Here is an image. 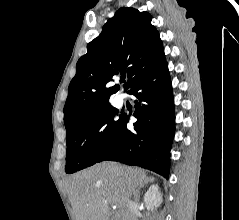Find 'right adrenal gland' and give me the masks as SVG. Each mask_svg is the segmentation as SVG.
I'll return each mask as SVG.
<instances>
[{"mask_svg": "<svg viewBox=\"0 0 239 220\" xmlns=\"http://www.w3.org/2000/svg\"><path fill=\"white\" fill-rule=\"evenodd\" d=\"M154 180L152 178H146L143 183H141L138 190L134 193L135 199L138 200L140 198V189H142L148 183H152Z\"/></svg>", "mask_w": 239, "mask_h": 220, "instance_id": "right-adrenal-gland-1", "label": "right adrenal gland"}]
</instances>
